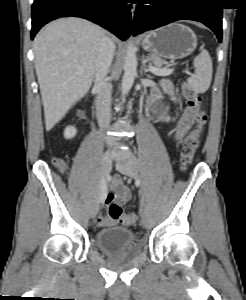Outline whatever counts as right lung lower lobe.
I'll list each match as a JSON object with an SVG mask.
<instances>
[{"instance_id": "98d812e1", "label": "right lung lower lobe", "mask_w": 246, "mask_h": 300, "mask_svg": "<svg viewBox=\"0 0 246 300\" xmlns=\"http://www.w3.org/2000/svg\"><path fill=\"white\" fill-rule=\"evenodd\" d=\"M130 15L126 0H34L31 39L46 23L75 16L99 24L126 40L130 35Z\"/></svg>"}]
</instances>
